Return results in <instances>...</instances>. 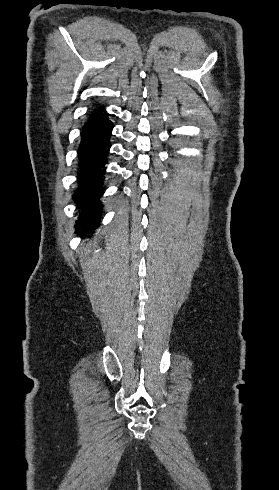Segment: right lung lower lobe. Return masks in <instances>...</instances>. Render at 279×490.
<instances>
[{"instance_id": "1", "label": "right lung lower lobe", "mask_w": 279, "mask_h": 490, "mask_svg": "<svg viewBox=\"0 0 279 490\" xmlns=\"http://www.w3.org/2000/svg\"><path fill=\"white\" fill-rule=\"evenodd\" d=\"M112 129L113 123H110L94 132L81 135L77 188L72 196L78 210L75 233L80 237H91L100 223L103 209L100 197L104 191L103 176L111 146L109 139Z\"/></svg>"}]
</instances>
